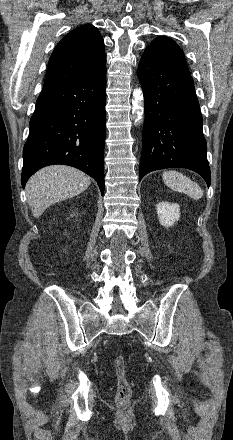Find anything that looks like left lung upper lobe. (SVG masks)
Instances as JSON below:
<instances>
[{
	"label": "left lung upper lobe",
	"mask_w": 233,
	"mask_h": 440,
	"mask_svg": "<svg viewBox=\"0 0 233 440\" xmlns=\"http://www.w3.org/2000/svg\"><path fill=\"white\" fill-rule=\"evenodd\" d=\"M144 54L153 55L187 67L182 49L168 37H158L154 39L150 46L146 48Z\"/></svg>",
	"instance_id": "5c2ea615"
}]
</instances>
